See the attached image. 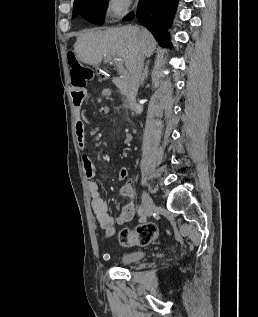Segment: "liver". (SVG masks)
Here are the masks:
<instances>
[{"label": "liver", "instance_id": "1", "mask_svg": "<svg viewBox=\"0 0 258 317\" xmlns=\"http://www.w3.org/2000/svg\"><path fill=\"white\" fill-rule=\"evenodd\" d=\"M157 42L151 32L143 26H118L109 30H85L77 36L74 44L79 60L86 64H99L103 56H122L129 68L138 50L151 56Z\"/></svg>", "mask_w": 258, "mask_h": 317}]
</instances>
